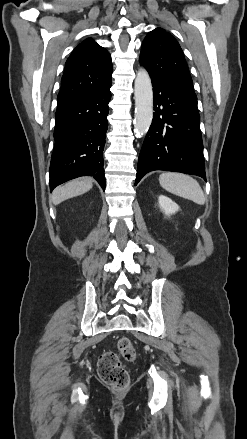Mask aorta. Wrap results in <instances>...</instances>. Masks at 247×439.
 Returning a JSON list of instances; mask_svg holds the SVG:
<instances>
[{
  "mask_svg": "<svg viewBox=\"0 0 247 439\" xmlns=\"http://www.w3.org/2000/svg\"><path fill=\"white\" fill-rule=\"evenodd\" d=\"M135 132L137 136L147 133L153 118V90L148 72L140 69L134 83Z\"/></svg>",
  "mask_w": 247,
  "mask_h": 439,
  "instance_id": "obj_1",
  "label": "aorta"
}]
</instances>
